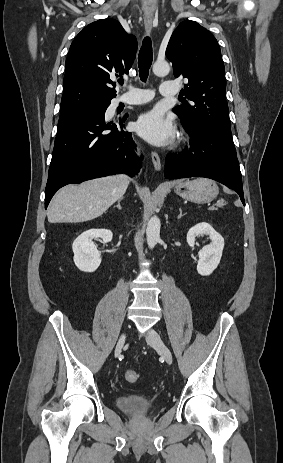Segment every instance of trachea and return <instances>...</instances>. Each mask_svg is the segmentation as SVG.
<instances>
[{
  "mask_svg": "<svg viewBox=\"0 0 283 463\" xmlns=\"http://www.w3.org/2000/svg\"><path fill=\"white\" fill-rule=\"evenodd\" d=\"M152 60V43L150 37L147 36L143 40V44L138 55L139 76L140 79L144 82L148 78V73L152 64ZM119 83L123 85V81H119Z\"/></svg>",
  "mask_w": 283,
  "mask_h": 463,
  "instance_id": "obj_1",
  "label": "trachea"
}]
</instances>
